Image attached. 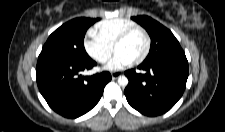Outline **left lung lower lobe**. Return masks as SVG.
I'll use <instances>...</instances> for the list:
<instances>
[{
	"label": "left lung lower lobe",
	"instance_id": "0a47b994",
	"mask_svg": "<svg viewBox=\"0 0 225 132\" xmlns=\"http://www.w3.org/2000/svg\"><path fill=\"white\" fill-rule=\"evenodd\" d=\"M125 75L129 84L124 90L128 103L140 113L157 116L170 110L182 96L188 78L186 57H176L138 66Z\"/></svg>",
	"mask_w": 225,
	"mask_h": 132
}]
</instances>
